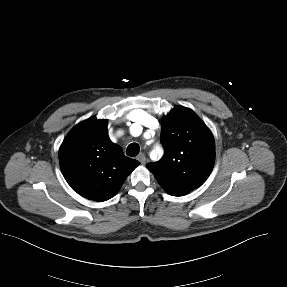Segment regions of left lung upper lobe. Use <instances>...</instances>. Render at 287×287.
<instances>
[{"label":"left lung upper lobe","mask_w":287,"mask_h":287,"mask_svg":"<svg viewBox=\"0 0 287 287\" xmlns=\"http://www.w3.org/2000/svg\"><path fill=\"white\" fill-rule=\"evenodd\" d=\"M165 154L147 164L161 187L170 195L183 196L198 188L215 162L211 131L189 108L175 106L161 122Z\"/></svg>","instance_id":"1"}]
</instances>
